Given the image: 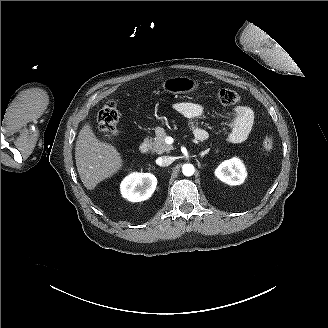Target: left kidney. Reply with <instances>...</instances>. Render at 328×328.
<instances>
[{
    "label": "left kidney",
    "mask_w": 328,
    "mask_h": 328,
    "mask_svg": "<svg viewBox=\"0 0 328 328\" xmlns=\"http://www.w3.org/2000/svg\"><path fill=\"white\" fill-rule=\"evenodd\" d=\"M215 175L228 185H240L245 180L246 171L239 159H231L218 166Z\"/></svg>",
    "instance_id": "1"
}]
</instances>
